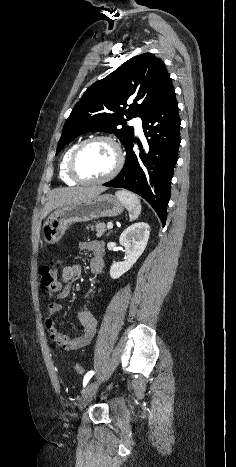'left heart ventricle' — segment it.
I'll return each mask as SVG.
<instances>
[{"mask_svg": "<svg viewBox=\"0 0 236 467\" xmlns=\"http://www.w3.org/2000/svg\"><path fill=\"white\" fill-rule=\"evenodd\" d=\"M115 162L116 154L111 144L97 141L82 150L77 160V170L84 179H99L112 170Z\"/></svg>", "mask_w": 236, "mask_h": 467, "instance_id": "left-heart-ventricle-1", "label": "left heart ventricle"}]
</instances>
